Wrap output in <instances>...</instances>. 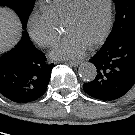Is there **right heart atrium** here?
<instances>
[{"mask_svg": "<svg viewBox=\"0 0 135 135\" xmlns=\"http://www.w3.org/2000/svg\"><path fill=\"white\" fill-rule=\"evenodd\" d=\"M27 31L42 47L52 46L57 40L56 24L44 11L31 14L27 22Z\"/></svg>", "mask_w": 135, "mask_h": 135, "instance_id": "1", "label": "right heart atrium"}]
</instances>
